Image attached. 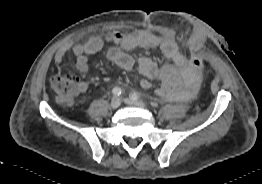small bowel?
<instances>
[{
  "mask_svg": "<svg viewBox=\"0 0 262 184\" xmlns=\"http://www.w3.org/2000/svg\"><path fill=\"white\" fill-rule=\"evenodd\" d=\"M206 39V31L198 28L193 31L187 42V47L197 51ZM104 42L113 44L107 52V58L123 70L137 67L144 78L140 81L143 89L152 88L153 80H158L160 85L155 89V94L164 99L173 101H189L195 98L202 79V72L188 66V57L184 55L170 36H159L146 31L136 33H123L112 31L104 39L91 37L80 44L68 43L61 46L54 55V62L61 64L66 55L76 57V68L80 72L89 70V57L98 53ZM136 48L159 49L165 56L166 62L158 65L147 57L135 59L128 52ZM81 90L86 89L84 82L80 83Z\"/></svg>",
  "mask_w": 262,
  "mask_h": 184,
  "instance_id": "small-bowel-1",
  "label": "small bowel"
}]
</instances>
